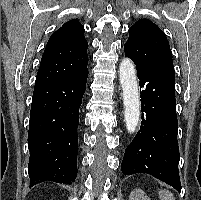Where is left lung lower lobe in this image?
I'll list each match as a JSON object with an SVG mask.
<instances>
[{"mask_svg":"<svg viewBox=\"0 0 201 200\" xmlns=\"http://www.w3.org/2000/svg\"><path fill=\"white\" fill-rule=\"evenodd\" d=\"M142 122L126 148L124 175L147 173L181 191L174 69L137 68Z\"/></svg>","mask_w":201,"mask_h":200,"instance_id":"obj_1","label":"left lung lower lobe"}]
</instances>
